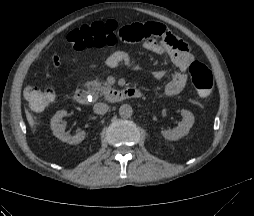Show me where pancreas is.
<instances>
[{"instance_id":"1","label":"pancreas","mask_w":254,"mask_h":216,"mask_svg":"<svg viewBox=\"0 0 254 216\" xmlns=\"http://www.w3.org/2000/svg\"><path fill=\"white\" fill-rule=\"evenodd\" d=\"M85 85L92 91L96 98L99 94L102 95L106 90L111 88L110 84L107 82L99 81H88Z\"/></svg>"}]
</instances>
